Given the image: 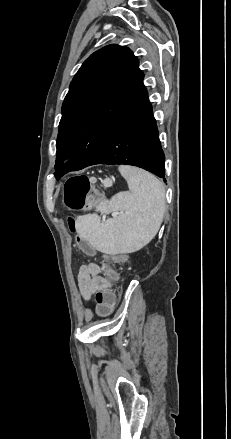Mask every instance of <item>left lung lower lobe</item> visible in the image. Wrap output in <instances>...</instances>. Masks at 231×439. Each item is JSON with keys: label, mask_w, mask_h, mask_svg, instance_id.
<instances>
[{"label": "left lung lower lobe", "mask_w": 231, "mask_h": 439, "mask_svg": "<svg viewBox=\"0 0 231 439\" xmlns=\"http://www.w3.org/2000/svg\"><path fill=\"white\" fill-rule=\"evenodd\" d=\"M96 164H128L165 177V157L145 87L87 166Z\"/></svg>", "instance_id": "obj_1"}]
</instances>
